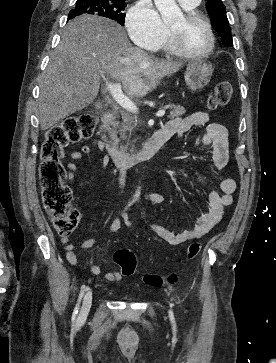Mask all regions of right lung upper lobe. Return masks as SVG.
<instances>
[{"label": "right lung upper lobe", "mask_w": 276, "mask_h": 363, "mask_svg": "<svg viewBox=\"0 0 276 363\" xmlns=\"http://www.w3.org/2000/svg\"><path fill=\"white\" fill-rule=\"evenodd\" d=\"M113 1H126V0H113Z\"/></svg>", "instance_id": "1"}]
</instances>
